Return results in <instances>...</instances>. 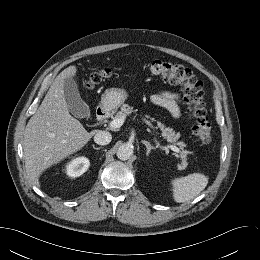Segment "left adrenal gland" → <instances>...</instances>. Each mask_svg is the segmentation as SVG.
Here are the masks:
<instances>
[{"instance_id": "left-adrenal-gland-1", "label": "left adrenal gland", "mask_w": 260, "mask_h": 260, "mask_svg": "<svg viewBox=\"0 0 260 260\" xmlns=\"http://www.w3.org/2000/svg\"><path fill=\"white\" fill-rule=\"evenodd\" d=\"M142 143L146 146V155L149 156L151 150H155L156 147L152 146L148 141L143 140Z\"/></svg>"}]
</instances>
